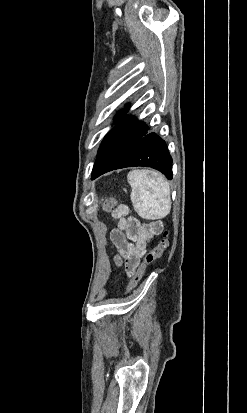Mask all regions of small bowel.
<instances>
[{
	"instance_id": "c3829d8e",
	"label": "small bowel",
	"mask_w": 247,
	"mask_h": 413,
	"mask_svg": "<svg viewBox=\"0 0 247 413\" xmlns=\"http://www.w3.org/2000/svg\"><path fill=\"white\" fill-rule=\"evenodd\" d=\"M128 213L126 205L113 210L112 217L118 220V225L110 237L118 252L115 262L120 265L124 261L126 276L130 277L139 266L147 244L162 232L163 223L160 220L142 223L135 217H127Z\"/></svg>"
}]
</instances>
